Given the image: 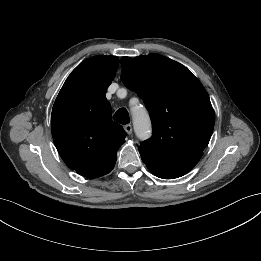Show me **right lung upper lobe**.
Here are the masks:
<instances>
[{
    "label": "right lung upper lobe",
    "instance_id": "cb5924a9",
    "mask_svg": "<svg viewBox=\"0 0 261 261\" xmlns=\"http://www.w3.org/2000/svg\"><path fill=\"white\" fill-rule=\"evenodd\" d=\"M119 59L94 56L81 62L68 76L52 109L55 146L66 165L78 174L97 178L115 166L126 132L112 120L106 92Z\"/></svg>",
    "mask_w": 261,
    "mask_h": 261
}]
</instances>
